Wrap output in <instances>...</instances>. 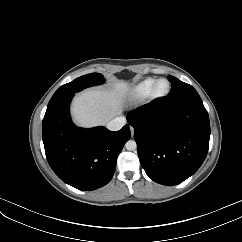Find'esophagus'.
Wrapping results in <instances>:
<instances>
[{
    "mask_svg": "<svg viewBox=\"0 0 242 242\" xmlns=\"http://www.w3.org/2000/svg\"><path fill=\"white\" fill-rule=\"evenodd\" d=\"M131 129V135L133 136V134H134V129L131 127L130 128Z\"/></svg>",
    "mask_w": 242,
    "mask_h": 242,
    "instance_id": "1",
    "label": "esophagus"
}]
</instances>
